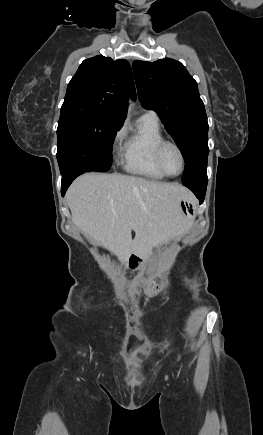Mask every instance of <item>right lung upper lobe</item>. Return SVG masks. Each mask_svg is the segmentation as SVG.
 <instances>
[{"label": "right lung upper lobe", "instance_id": "obj_1", "mask_svg": "<svg viewBox=\"0 0 263 435\" xmlns=\"http://www.w3.org/2000/svg\"><path fill=\"white\" fill-rule=\"evenodd\" d=\"M131 95L134 97L130 64L99 55L79 66L67 86L61 109H89L122 125Z\"/></svg>", "mask_w": 263, "mask_h": 435}]
</instances>
